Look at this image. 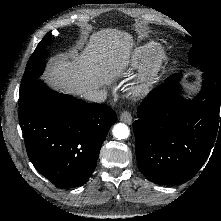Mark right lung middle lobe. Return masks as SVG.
I'll return each instance as SVG.
<instances>
[{"instance_id":"dd1d6c3e","label":"right lung middle lobe","mask_w":221,"mask_h":221,"mask_svg":"<svg viewBox=\"0 0 221 221\" xmlns=\"http://www.w3.org/2000/svg\"><path fill=\"white\" fill-rule=\"evenodd\" d=\"M51 32H48L36 47L34 53L27 62L25 74L22 78L20 95L34 84L42 74L46 64V47L51 39Z\"/></svg>"}]
</instances>
